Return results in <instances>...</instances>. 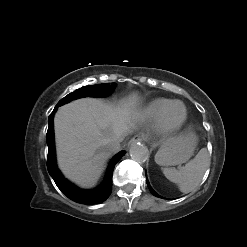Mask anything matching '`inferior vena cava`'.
<instances>
[{"label":"inferior vena cava","instance_id":"602c4592","mask_svg":"<svg viewBox=\"0 0 247 247\" xmlns=\"http://www.w3.org/2000/svg\"><path fill=\"white\" fill-rule=\"evenodd\" d=\"M120 143H121V140H118V139H116V140H112V141H110L108 144H107V146H106V148H107V150L110 152V153H115V152H117V151H119L120 150Z\"/></svg>","mask_w":247,"mask_h":247}]
</instances>
